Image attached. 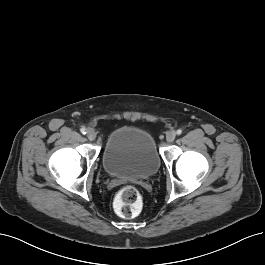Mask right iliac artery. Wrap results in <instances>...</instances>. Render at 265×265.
<instances>
[{"label":"right iliac artery","mask_w":265,"mask_h":265,"mask_svg":"<svg viewBox=\"0 0 265 265\" xmlns=\"http://www.w3.org/2000/svg\"><path fill=\"white\" fill-rule=\"evenodd\" d=\"M80 131H81L82 134H86V129L84 127L81 128Z\"/></svg>","instance_id":"82829eb1"}]
</instances>
